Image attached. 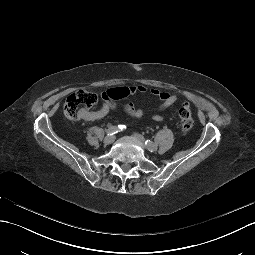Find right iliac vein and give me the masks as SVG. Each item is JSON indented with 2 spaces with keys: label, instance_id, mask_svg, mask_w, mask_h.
<instances>
[{
  "label": "right iliac vein",
  "instance_id": "right-iliac-vein-1",
  "mask_svg": "<svg viewBox=\"0 0 255 255\" xmlns=\"http://www.w3.org/2000/svg\"><path fill=\"white\" fill-rule=\"evenodd\" d=\"M114 140H115V136H113V135L107 136V137L104 139V143L108 145V144L113 143Z\"/></svg>",
  "mask_w": 255,
  "mask_h": 255
}]
</instances>
